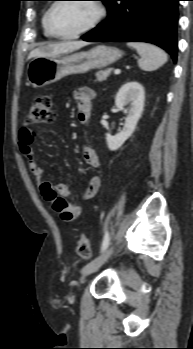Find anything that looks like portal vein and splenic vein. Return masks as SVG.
I'll return each mask as SVG.
<instances>
[{"instance_id": "portal-vein-and-splenic-vein-1", "label": "portal vein and splenic vein", "mask_w": 193, "mask_h": 349, "mask_svg": "<svg viewBox=\"0 0 193 349\" xmlns=\"http://www.w3.org/2000/svg\"><path fill=\"white\" fill-rule=\"evenodd\" d=\"M114 73H115V74H120V73H121V70H120V69H115V70H114Z\"/></svg>"}]
</instances>
